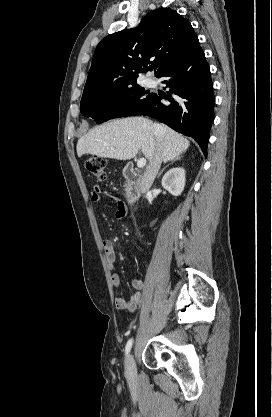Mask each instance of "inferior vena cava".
Segmentation results:
<instances>
[{"mask_svg":"<svg viewBox=\"0 0 272 417\" xmlns=\"http://www.w3.org/2000/svg\"><path fill=\"white\" fill-rule=\"evenodd\" d=\"M153 127L157 132H159L160 127L158 125L154 124ZM157 141H158L157 149L154 154L153 160L150 162V164L146 168V171L140 183V189L143 193L147 192L152 186L154 179L162 163V156H161L162 139L160 138V136L157 137Z\"/></svg>","mask_w":272,"mask_h":417,"instance_id":"inferior-vena-cava-1","label":"inferior vena cava"}]
</instances>
